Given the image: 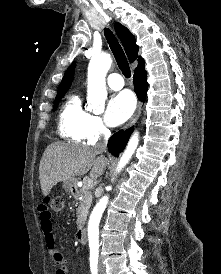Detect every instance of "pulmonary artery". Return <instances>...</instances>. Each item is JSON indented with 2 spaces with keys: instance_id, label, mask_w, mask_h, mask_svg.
I'll list each match as a JSON object with an SVG mask.
<instances>
[{
  "instance_id": "1",
  "label": "pulmonary artery",
  "mask_w": 221,
  "mask_h": 274,
  "mask_svg": "<svg viewBox=\"0 0 221 274\" xmlns=\"http://www.w3.org/2000/svg\"><path fill=\"white\" fill-rule=\"evenodd\" d=\"M107 84L112 90H120L124 86V81L120 74L112 73L107 78Z\"/></svg>"
}]
</instances>
